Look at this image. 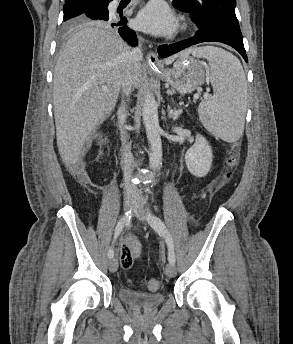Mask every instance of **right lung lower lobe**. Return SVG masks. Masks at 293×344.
Segmentation results:
<instances>
[{
  "mask_svg": "<svg viewBox=\"0 0 293 344\" xmlns=\"http://www.w3.org/2000/svg\"><path fill=\"white\" fill-rule=\"evenodd\" d=\"M112 0H99L94 5H92L87 11L83 13V16L89 20H103L107 21V25L111 27H116L119 32V35L130 45L136 46L137 39L135 32L130 29L126 23V17L112 16L108 12V4Z\"/></svg>",
  "mask_w": 293,
  "mask_h": 344,
  "instance_id": "obj_1",
  "label": "right lung lower lobe"
}]
</instances>
